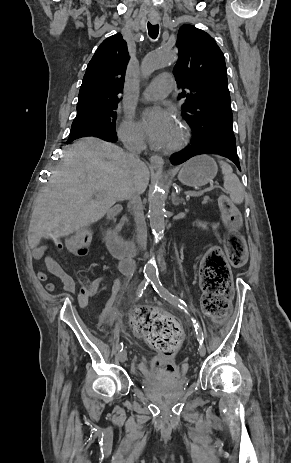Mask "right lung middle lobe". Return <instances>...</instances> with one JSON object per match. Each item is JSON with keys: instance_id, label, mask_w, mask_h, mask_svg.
Returning a JSON list of instances; mask_svg holds the SVG:
<instances>
[{"instance_id": "right-lung-middle-lobe-1", "label": "right lung middle lobe", "mask_w": 291, "mask_h": 463, "mask_svg": "<svg viewBox=\"0 0 291 463\" xmlns=\"http://www.w3.org/2000/svg\"><path fill=\"white\" fill-rule=\"evenodd\" d=\"M117 106L118 104H114L82 116H77L72 123L67 142L86 136L101 134L115 135V110Z\"/></svg>"}]
</instances>
